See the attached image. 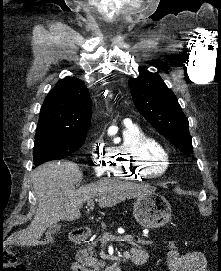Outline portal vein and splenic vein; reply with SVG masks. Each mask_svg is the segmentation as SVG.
Instances as JSON below:
<instances>
[{
	"instance_id": "portal-vein-and-splenic-vein-1",
	"label": "portal vein and splenic vein",
	"mask_w": 221,
	"mask_h": 271,
	"mask_svg": "<svg viewBox=\"0 0 221 271\" xmlns=\"http://www.w3.org/2000/svg\"><path fill=\"white\" fill-rule=\"evenodd\" d=\"M131 234H122L121 237H114V234H107L105 242H133Z\"/></svg>"
}]
</instances>
